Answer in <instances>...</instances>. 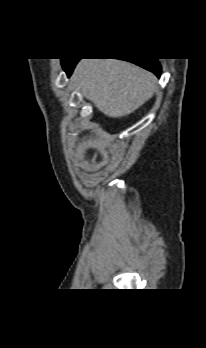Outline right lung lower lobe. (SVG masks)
Masks as SVG:
<instances>
[{"label": "right lung lower lobe", "instance_id": "obj_1", "mask_svg": "<svg viewBox=\"0 0 206 348\" xmlns=\"http://www.w3.org/2000/svg\"><path fill=\"white\" fill-rule=\"evenodd\" d=\"M62 66L64 70L66 71L67 75L70 76L76 63L79 61V59H71L66 60L63 59ZM129 62H132L134 64H137L151 72H153L158 78L161 74V66L156 58H136V59H124Z\"/></svg>", "mask_w": 206, "mask_h": 348}]
</instances>
